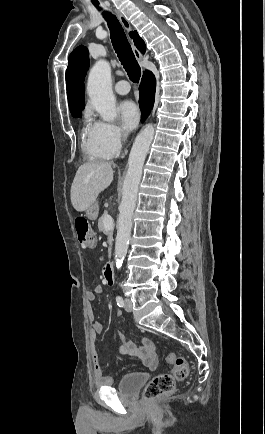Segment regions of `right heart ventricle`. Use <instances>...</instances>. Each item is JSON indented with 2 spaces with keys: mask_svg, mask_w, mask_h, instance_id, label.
<instances>
[{
  "mask_svg": "<svg viewBox=\"0 0 265 434\" xmlns=\"http://www.w3.org/2000/svg\"><path fill=\"white\" fill-rule=\"evenodd\" d=\"M81 148L90 162H99L112 159L115 154H102L93 142L91 116L88 110L82 114Z\"/></svg>",
  "mask_w": 265,
  "mask_h": 434,
  "instance_id": "obj_1",
  "label": "right heart ventricle"
}]
</instances>
